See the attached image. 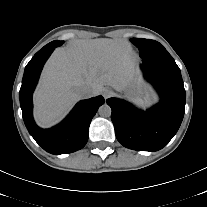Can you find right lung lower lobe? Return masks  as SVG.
<instances>
[{
	"label": "right lung lower lobe",
	"mask_w": 207,
	"mask_h": 207,
	"mask_svg": "<svg viewBox=\"0 0 207 207\" xmlns=\"http://www.w3.org/2000/svg\"><path fill=\"white\" fill-rule=\"evenodd\" d=\"M55 47L38 51L25 67L19 92L24 123L30 135L47 152L68 154L85 146L89 137V125L98 108L104 104L102 96L80 101L70 114L51 129L39 128L32 116V94L40 72Z\"/></svg>",
	"instance_id": "98d812e1"
}]
</instances>
